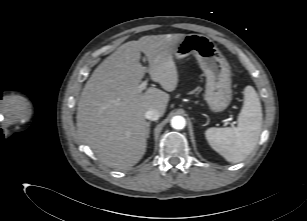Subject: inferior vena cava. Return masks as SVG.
I'll use <instances>...</instances> for the list:
<instances>
[{
  "label": "inferior vena cava",
  "mask_w": 307,
  "mask_h": 221,
  "mask_svg": "<svg viewBox=\"0 0 307 221\" xmlns=\"http://www.w3.org/2000/svg\"><path fill=\"white\" fill-rule=\"evenodd\" d=\"M161 114L158 110L156 109H148L145 113V118L151 121H156L160 118Z\"/></svg>",
  "instance_id": "602c4592"
}]
</instances>
